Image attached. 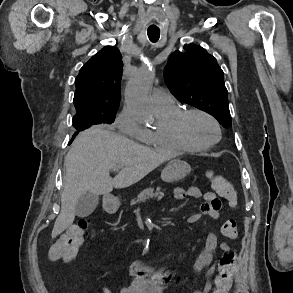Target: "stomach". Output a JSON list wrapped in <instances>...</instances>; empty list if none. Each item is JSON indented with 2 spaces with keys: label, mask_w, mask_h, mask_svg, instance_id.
Listing matches in <instances>:
<instances>
[{
  "label": "stomach",
  "mask_w": 293,
  "mask_h": 293,
  "mask_svg": "<svg viewBox=\"0 0 293 293\" xmlns=\"http://www.w3.org/2000/svg\"><path fill=\"white\" fill-rule=\"evenodd\" d=\"M191 171V166L183 160L173 159L162 170L161 179L167 183H174L184 179ZM108 208H117V201L106 200Z\"/></svg>",
  "instance_id": "0dacf381"
}]
</instances>
